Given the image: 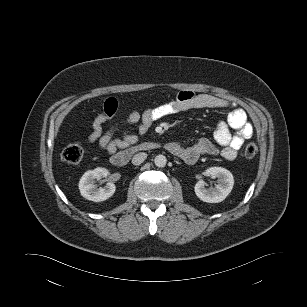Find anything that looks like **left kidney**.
Listing matches in <instances>:
<instances>
[{
  "label": "left kidney",
  "mask_w": 307,
  "mask_h": 307,
  "mask_svg": "<svg viewBox=\"0 0 307 307\" xmlns=\"http://www.w3.org/2000/svg\"><path fill=\"white\" fill-rule=\"evenodd\" d=\"M205 176L218 179V184L213 189H206L205 182L199 180L195 185V194L197 197L208 203L222 202L231 192L234 179L232 173L222 167H210L204 172Z\"/></svg>",
  "instance_id": "1"
}]
</instances>
